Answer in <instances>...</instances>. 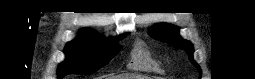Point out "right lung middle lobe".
I'll return each instance as SVG.
<instances>
[{
    "label": "right lung middle lobe",
    "instance_id": "obj_1",
    "mask_svg": "<svg viewBox=\"0 0 255 79\" xmlns=\"http://www.w3.org/2000/svg\"><path fill=\"white\" fill-rule=\"evenodd\" d=\"M117 40L80 36L69 42L65 48L67 59L59 65L58 77L66 74H88L106 65L120 51Z\"/></svg>",
    "mask_w": 255,
    "mask_h": 79
}]
</instances>
